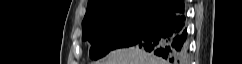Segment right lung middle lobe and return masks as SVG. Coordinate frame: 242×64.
<instances>
[{
	"mask_svg": "<svg viewBox=\"0 0 242 64\" xmlns=\"http://www.w3.org/2000/svg\"><path fill=\"white\" fill-rule=\"evenodd\" d=\"M161 17L147 9L107 14L82 25V40L92 44L89 55L97 60L114 49L137 44Z\"/></svg>",
	"mask_w": 242,
	"mask_h": 64,
	"instance_id": "dd1d6c3e",
	"label": "right lung middle lobe"
}]
</instances>
